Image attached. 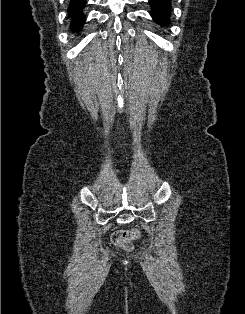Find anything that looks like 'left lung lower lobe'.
Wrapping results in <instances>:
<instances>
[{
    "label": "left lung lower lobe",
    "instance_id": "1",
    "mask_svg": "<svg viewBox=\"0 0 245 314\" xmlns=\"http://www.w3.org/2000/svg\"><path fill=\"white\" fill-rule=\"evenodd\" d=\"M151 16L157 24L167 26L171 15L170 0H149Z\"/></svg>",
    "mask_w": 245,
    "mask_h": 314
}]
</instances>
